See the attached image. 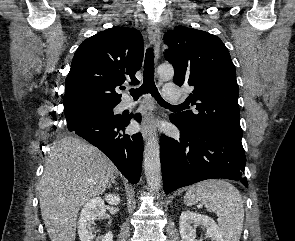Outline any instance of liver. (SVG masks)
Returning <instances> with one entry per match:
<instances>
[{
  "label": "liver",
  "instance_id": "obj_1",
  "mask_svg": "<svg viewBox=\"0 0 295 241\" xmlns=\"http://www.w3.org/2000/svg\"><path fill=\"white\" fill-rule=\"evenodd\" d=\"M116 167L96 147L65 137L54 147L39 182L41 215L51 241H75L78 212L105 192Z\"/></svg>",
  "mask_w": 295,
  "mask_h": 241
}]
</instances>
